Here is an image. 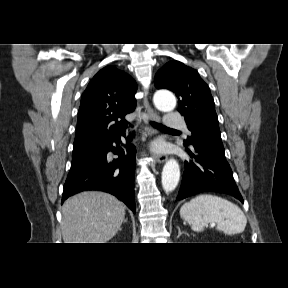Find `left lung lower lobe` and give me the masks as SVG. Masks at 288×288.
Listing matches in <instances>:
<instances>
[{"label": "left lung lower lobe", "mask_w": 288, "mask_h": 288, "mask_svg": "<svg viewBox=\"0 0 288 288\" xmlns=\"http://www.w3.org/2000/svg\"><path fill=\"white\" fill-rule=\"evenodd\" d=\"M192 160L185 161V171L176 201L204 191L234 196L243 202L225 156L203 145L186 147Z\"/></svg>", "instance_id": "left-lung-lower-lobe-1"}]
</instances>
